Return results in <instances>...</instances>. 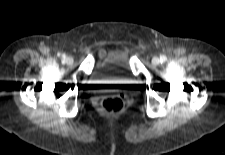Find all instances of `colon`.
<instances>
[{
    "label": "colon",
    "mask_w": 225,
    "mask_h": 155,
    "mask_svg": "<svg viewBox=\"0 0 225 155\" xmlns=\"http://www.w3.org/2000/svg\"><path fill=\"white\" fill-rule=\"evenodd\" d=\"M100 107L107 114H120L125 108V101L121 95L112 94L100 99Z\"/></svg>",
    "instance_id": "obj_1"
}]
</instances>
